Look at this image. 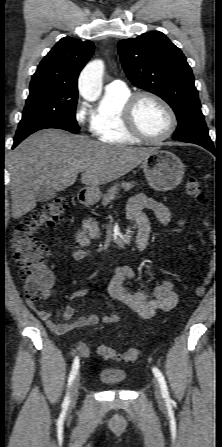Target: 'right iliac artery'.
I'll list each match as a JSON object with an SVG mask.
<instances>
[{
    "label": "right iliac artery",
    "instance_id": "82829eb1",
    "mask_svg": "<svg viewBox=\"0 0 222 447\" xmlns=\"http://www.w3.org/2000/svg\"><path fill=\"white\" fill-rule=\"evenodd\" d=\"M78 369H79V358L76 357V358L74 359V363H73V365H72V369H71V372H70V375H69V379H68V388L71 386V384H72L74 378L76 377V374H77V372H78ZM68 405H69V394L66 395V397H65V399H64V401H63L62 406H63L64 408H67Z\"/></svg>",
    "mask_w": 222,
    "mask_h": 447
}]
</instances>
